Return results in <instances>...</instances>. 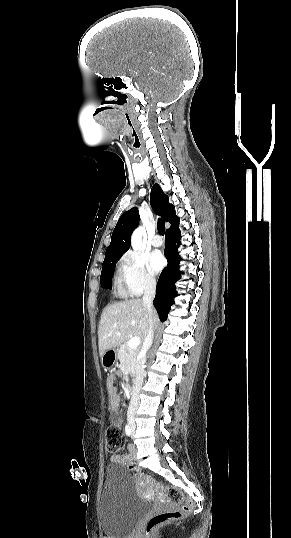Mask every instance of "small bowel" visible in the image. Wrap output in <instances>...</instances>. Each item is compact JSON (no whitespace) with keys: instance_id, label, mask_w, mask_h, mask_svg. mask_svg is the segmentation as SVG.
Segmentation results:
<instances>
[{"instance_id":"1","label":"small bowel","mask_w":291,"mask_h":538,"mask_svg":"<svg viewBox=\"0 0 291 538\" xmlns=\"http://www.w3.org/2000/svg\"><path fill=\"white\" fill-rule=\"evenodd\" d=\"M116 377L115 375H110L107 378V389H108V401H109V410L111 413V418L114 422L119 423L121 414L119 412V394L116 388ZM136 458V449L133 445L128 446L127 452L124 454L112 455L110 461L113 463H128L132 462Z\"/></svg>"}]
</instances>
